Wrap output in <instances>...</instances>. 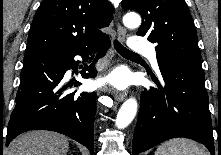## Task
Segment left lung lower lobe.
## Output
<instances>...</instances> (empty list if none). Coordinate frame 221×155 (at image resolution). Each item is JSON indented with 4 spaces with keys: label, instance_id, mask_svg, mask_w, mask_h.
I'll return each instance as SVG.
<instances>
[{
    "label": "left lung lower lobe",
    "instance_id": "1",
    "mask_svg": "<svg viewBox=\"0 0 221 155\" xmlns=\"http://www.w3.org/2000/svg\"><path fill=\"white\" fill-rule=\"evenodd\" d=\"M164 87L145 89L133 136V155L174 137L204 144L215 155L201 58L157 55Z\"/></svg>",
    "mask_w": 221,
    "mask_h": 155
}]
</instances>
